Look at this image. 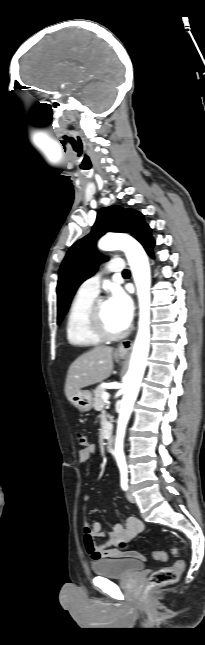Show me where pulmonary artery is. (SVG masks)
Instances as JSON below:
<instances>
[{"label": "pulmonary artery", "instance_id": "obj_1", "mask_svg": "<svg viewBox=\"0 0 205 645\" xmlns=\"http://www.w3.org/2000/svg\"><path fill=\"white\" fill-rule=\"evenodd\" d=\"M125 268L124 262L120 258H114L107 264L109 272H123ZM101 282V275L97 274L85 280L79 287V291L85 294L96 296L99 293Z\"/></svg>", "mask_w": 205, "mask_h": 645}]
</instances>
